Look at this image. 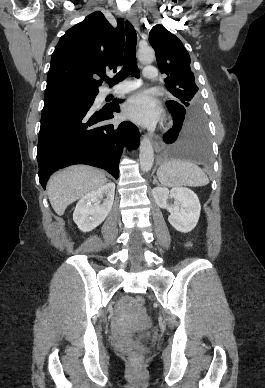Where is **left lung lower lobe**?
Here are the masks:
<instances>
[{"label": "left lung lower lobe", "mask_w": 265, "mask_h": 388, "mask_svg": "<svg viewBox=\"0 0 265 388\" xmlns=\"http://www.w3.org/2000/svg\"><path fill=\"white\" fill-rule=\"evenodd\" d=\"M173 116V126L164 136L169 144L164 150L168 158L190 160L199 164L210 161L209 133L200 109H187L176 102L167 101Z\"/></svg>", "instance_id": "0a47b994"}]
</instances>
